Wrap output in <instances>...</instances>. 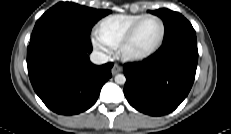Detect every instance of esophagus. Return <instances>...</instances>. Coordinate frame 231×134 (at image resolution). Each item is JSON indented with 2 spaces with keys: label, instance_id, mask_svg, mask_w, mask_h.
I'll use <instances>...</instances> for the list:
<instances>
[{
  "label": "esophagus",
  "instance_id": "obj_1",
  "mask_svg": "<svg viewBox=\"0 0 231 134\" xmlns=\"http://www.w3.org/2000/svg\"><path fill=\"white\" fill-rule=\"evenodd\" d=\"M121 71H122V67L118 64H114L112 69H111L112 75H116V74L120 73Z\"/></svg>",
  "mask_w": 231,
  "mask_h": 134
}]
</instances>
